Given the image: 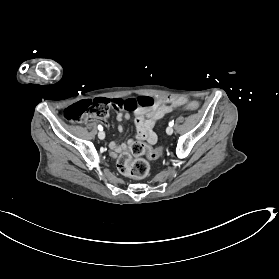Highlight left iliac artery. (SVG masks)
Listing matches in <instances>:
<instances>
[{"label":"left iliac artery","mask_w":279,"mask_h":279,"mask_svg":"<svg viewBox=\"0 0 279 279\" xmlns=\"http://www.w3.org/2000/svg\"><path fill=\"white\" fill-rule=\"evenodd\" d=\"M173 125H174V121H170L169 126H173Z\"/></svg>","instance_id":"left-iliac-artery-1"}]
</instances>
